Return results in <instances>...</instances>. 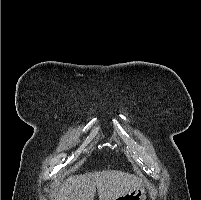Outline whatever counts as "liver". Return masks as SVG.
I'll return each instance as SVG.
<instances>
[{"label":"liver","instance_id":"liver-1","mask_svg":"<svg viewBox=\"0 0 201 200\" xmlns=\"http://www.w3.org/2000/svg\"><path fill=\"white\" fill-rule=\"evenodd\" d=\"M142 185L143 181L133 174L103 170L69 177L56 193L55 200H94L96 190L99 200H115Z\"/></svg>","mask_w":201,"mask_h":200}]
</instances>
